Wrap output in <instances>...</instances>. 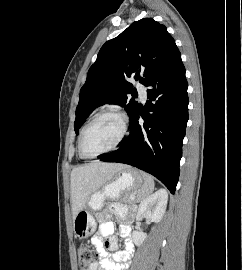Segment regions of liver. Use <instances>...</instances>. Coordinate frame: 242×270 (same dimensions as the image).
Masks as SVG:
<instances>
[{
  "instance_id": "liver-1",
  "label": "liver",
  "mask_w": 242,
  "mask_h": 270,
  "mask_svg": "<svg viewBox=\"0 0 242 270\" xmlns=\"http://www.w3.org/2000/svg\"><path fill=\"white\" fill-rule=\"evenodd\" d=\"M126 165L99 161L74 168L71 172V203L73 219L86 207L92 193L102 188Z\"/></svg>"
}]
</instances>
